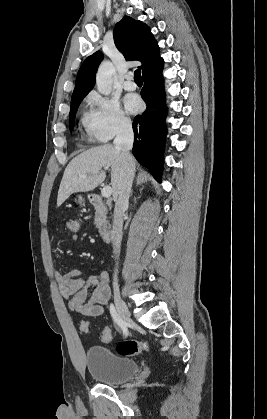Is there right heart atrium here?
Returning a JSON list of instances; mask_svg holds the SVG:
<instances>
[{
	"mask_svg": "<svg viewBox=\"0 0 267 419\" xmlns=\"http://www.w3.org/2000/svg\"><path fill=\"white\" fill-rule=\"evenodd\" d=\"M87 102L92 108L91 134L98 141H109L131 128V119L118 100L94 91L88 95Z\"/></svg>",
	"mask_w": 267,
	"mask_h": 419,
	"instance_id": "obj_1",
	"label": "right heart atrium"
}]
</instances>
